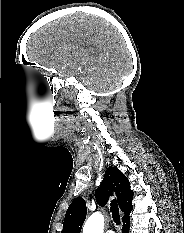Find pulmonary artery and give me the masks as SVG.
Segmentation results:
<instances>
[{"mask_svg":"<svg viewBox=\"0 0 184 233\" xmlns=\"http://www.w3.org/2000/svg\"><path fill=\"white\" fill-rule=\"evenodd\" d=\"M106 233H114L113 230H107Z\"/></svg>","mask_w":184,"mask_h":233,"instance_id":"pulmonary-artery-1","label":"pulmonary artery"}]
</instances>
